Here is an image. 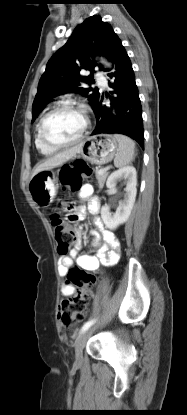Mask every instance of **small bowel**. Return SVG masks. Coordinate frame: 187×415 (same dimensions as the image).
<instances>
[{
    "label": "small bowel",
    "instance_id": "small-bowel-1",
    "mask_svg": "<svg viewBox=\"0 0 187 415\" xmlns=\"http://www.w3.org/2000/svg\"><path fill=\"white\" fill-rule=\"evenodd\" d=\"M80 199H90L88 210L93 217L96 228L91 231L93 236L92 246L97 247L98 251L95 255H80L82 249V233L79 228L76 231V241L73 248L68 254L63 255L59 259V274L67 278L70 267L74 260H77L78 265L87 271H96L100 264L112 265L119 256L120 241L116 236L107 230L98 215L100 209V202L97 197H93V188L90 184H85L79 190ZM86 208L78 206L75 208L72 220H81L85 217ZM68 279V278H67ZM75 292L74 286L67 280L61 286V294L64 297L72 296Z\"/></svg>",
    "mask_w": 187,
    "mask_h": 415
}]
</instances>
